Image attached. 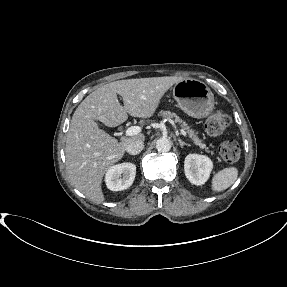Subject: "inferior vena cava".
<instances>
[{"instance_id":"obj_1","label":"inferior vena cava","mask_w":287,"mask_h":287,"mask_svg":"<svg viewBox=\"0 0 287 287\" xmlns=\"http://www.w3.org/2000/svg\"><path fill=\"white\" fill-rule=\"evenodd\" d=\"M144 148V142L139 139L132 140L126 147V151L131 155L139 154Z\"/></svg>"}]
</instances>
